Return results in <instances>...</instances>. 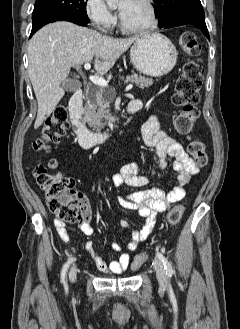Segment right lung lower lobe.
<instances>
[{
	"mask_svg": "<svg viewBox=\"0 0 240 329\" xmlns=\"http://www.w3.org/2000/svg\"><path fill=\"white\" fill-rule=\"evenodd\" d=\"M60 20L69 21V22L75 23L80 26H86L88 24V22H86V21L73 19V18H65V17H58V16H42V17L35 18L33 20V26H32V31H31L30 37L45 24H48L50 22L60 21Z\"/></svg>",
	"mask_w": 240,
	"mask_h": 329,
	"instance_id": "1",
	"label": "right lung lower lobe"
}]
</instances>
